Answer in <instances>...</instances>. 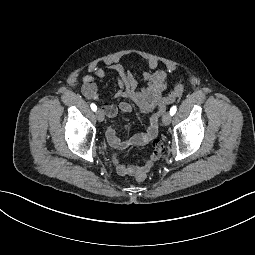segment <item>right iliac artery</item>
I'll use <instances>...</instances> for the list:
<instances>
[{"label":"right iliac artery","mask_w":255,"mask_h":255,"mask_svg":"<svg viewBox=\"0 0 255 255\" xmlns=\"http://www.w3.org/2000/svg\"><path fill=\"white\" fill-rule=\"evenodd\" d=\"M91 109L93 110V111H96L97 110V106L95 105V104H91Z\"/></svg>","instance_id":"right-iliac-artery-1"}]
</instances>
